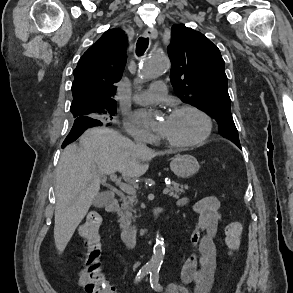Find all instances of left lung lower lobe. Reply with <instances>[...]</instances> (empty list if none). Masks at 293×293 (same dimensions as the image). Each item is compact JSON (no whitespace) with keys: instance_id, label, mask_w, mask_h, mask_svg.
I'll list each match as a JSON object with an SVG mask.
<instances>
[{"instance_id":"0a47b994","label":"left lung lower lobe","mask_w":293,"mask_h":293,"mask_svg":"<svg viewBox=\"0 0 293 293\" xmlns=\"http://www.w3.org/2000/svg\"><path fill=\"white\" fill-rule=\"evenodd\" d=\"M239 148H241V146L240 145H237Z\"/></svg>"}]
</instances>
